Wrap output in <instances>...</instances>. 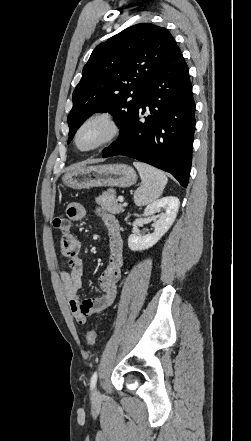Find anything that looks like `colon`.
I'll use <instances>...</instances> for the list:
<instances>
[{
  "mask_svg": "<svg viewBox=\"0 0 251 441\" xmlns=\"http://www.w3.org/2000/svg\"><path fill=\"white\" fill-rule=\"evenodd\" d=\"M53 226L62 235V237H67L68 235H70L71 220L69 217L66 216L56 217L53 220ZM96 338H97L96 330H90L86 334V343L88 345H93L96 341Z\"/></svg>",
  "mask_w": 251,
  "mask_h": 441,
  "instance_id": "5ec220e1",
  "label": "colon"
}]
</instances>
